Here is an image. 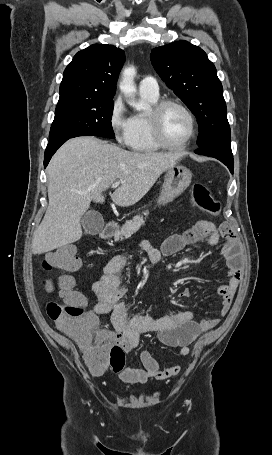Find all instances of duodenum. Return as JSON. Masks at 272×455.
<instances>
[{"label":"duodenum","instance_id":"410a0bca","mask_svg":"<svg viewBox=\"0 0 272 455\" xmlns=\"http://www.w3.org/2000/svg\"><path fill=\"white\" fill-rule=\"evenodd\" d=\"M114 230H115L114 224L109 222L101 229V231L99 232V237L102 239L111 237L114 233Z\"/></svg>","mask_w":272,"mask_h":455}]
</instances>
